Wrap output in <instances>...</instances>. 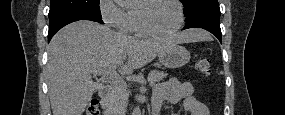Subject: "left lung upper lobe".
<instances>
[{
    "label": "left lung upper lobe",
    "mask_w": 285,
    "mask_h": 115,
    "mask_svg": "<svg viewBox=\"0 0 285 115\" xmlns=\"http://www.w3.org/2000/svg\"><path fill=\"white\" fill-rule=\"evenodd\" d=\"M184 6V15H188L192 10L197 8L198 6L210 3L217 2V0H180Z\"/></svg>",
    "instance_id": "1"
}]
</instances>
